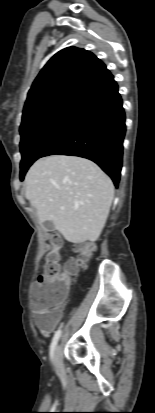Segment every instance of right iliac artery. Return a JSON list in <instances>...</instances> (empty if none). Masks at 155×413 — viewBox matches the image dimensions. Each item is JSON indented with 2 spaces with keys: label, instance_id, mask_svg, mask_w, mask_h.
Listing matches in <instances>:
<instances>
[{
  "label": "right iliac artery",
  "instance_id": "1",
  "mask_svg": "<svg viewBox=\"0 0 155 413\" xmlns=\"http://www.w3.org/2000/svg\"><path fill=\"white\" fill-rule=\"evenodd\" d=\"M60 335H61V330L59 329L55 332L54 337L52 339L51 346H50V357H51V359H53L54 349L56 347V344L59 340Z\"/></svg>",
  "mask_w": 155,
  "mask_h": 413
}]
</instances>
